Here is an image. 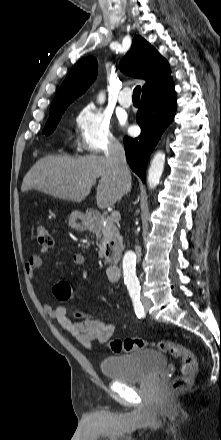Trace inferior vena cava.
<instances>
[{"label":"inferior vena cava","mask_w":221,"mask_h":440,"mask_svg":"<svg viewBox=\"0 0 221 440\" xmlns=\"http://www.w3.org/2000/svg\"><path fill=\"white\" fill-rule=\"evenodd\" d=\"M105 157L112 164L116 175L121 180L123 193L127 194L131 190V174L124 148L119 141L110 139Z\"/></svg>","instance_id":"1"}]
</instances>
